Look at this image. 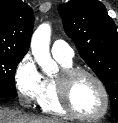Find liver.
<instances>
[{
  "label": "liver",
  "instance_id": "obj_1",
  "mask_svg": "<svg viewBox=\"0 0 118 123\" xmlns=\"http://www.w3.org/2000/svg\"><path fill=\"white\" fill-rule=\"evenodd\" d=\"M0 123H66L58 118L38 117L0 107Z\"/></svg>",
  "mask_w": 118,
  "mask_h": 123
}]
</instances>
